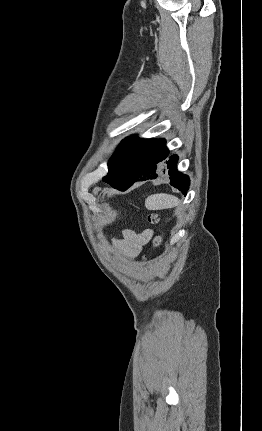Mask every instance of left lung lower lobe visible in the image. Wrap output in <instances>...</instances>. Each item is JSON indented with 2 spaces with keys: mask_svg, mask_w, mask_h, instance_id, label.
<instances>
[{
  "mask_svg": "<svg viewBox=\"0 0 262 431\" xmlns=\"http://www.w3.org/2000/svg\"><path fill=\"white\" fill-rule=\"evenodd\" d=\"M177 162V155L169 156L164 139L150 140L137 151L130 165V173L132 175L129 181L116 189L124 191L141 177L143 179H156L161 172V164L164 163L167 167L166 170L164 169V173L169 175L170 184L186 195L190 180L187 175L177 170Z\"/></svg>",
  "mask_w": 262,
  "mask_h": 431,
  "instance_id": "obj_1",
  "label": "left lung lower lobe"
}]
</instances>
